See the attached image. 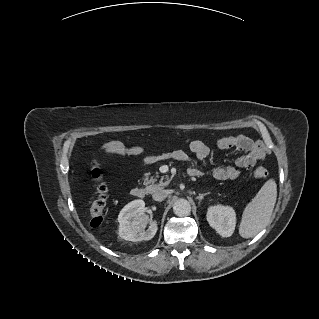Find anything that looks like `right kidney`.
Listing matches in <instances>:
<instances>
[{
    "label": "right kidney",
    "instance_id": "ca27d5eb",
    "mask_svg": "<svg viewBox=\"0 0 319 319\" xmlns=\"http://www.w3.org/2000/svg\"><path fill=\"white\" fill-rule=\"evenodd\" d=\"M145 202L143 200H134L128 203L119 213V236L128 241L138 242L152 239L157 232L156 220L151 221L148 229H145L149 223L148 216L143 214Z\"/></svg>",
    "mask_w": 319,
    "mask_h": 319
}]
</instances>
